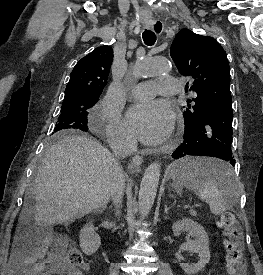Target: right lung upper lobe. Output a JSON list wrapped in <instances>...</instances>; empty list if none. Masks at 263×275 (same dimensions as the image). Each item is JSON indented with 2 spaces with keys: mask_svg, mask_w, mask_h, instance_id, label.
Instances as JSON below:
<instances>
[{
  "mask_svg": "<svg viewBox=\"0 0 263 275\" xmlns=\"http://www.w3.org/2000/svg\"><path fill=\"white\" fill-rule=\"evenodd\" d=\"M113 61V50L110 46H100L79 60L71 72L65 89V98L91 95L99 96L107 81Z\"/></svg>",
  "mask_w": 263,
  "mask_h": 275,
  "instance_id": "obj_1",
  "label": "right lung upper lobe"
}]
</instances>
